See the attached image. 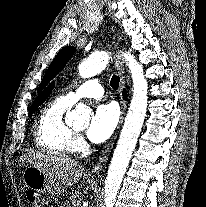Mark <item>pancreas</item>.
I'll use <instances>...</instances> for the list:
<instances>
[{"label": "pancreas", "instance_id": "pancreas-1", "mask_svg": "<svg viewBox=\"0 0 206 207\" xmlns=\"http://www.w3.org/2000/svg\"><path fill=\"white\" fill-rule=\"evenodd\" d=\"M81 193L72 192L68 197L67 207H80Z\"/></svg>", "mask_w": 206, "mask_h": 207}]
</instances>
